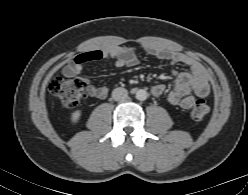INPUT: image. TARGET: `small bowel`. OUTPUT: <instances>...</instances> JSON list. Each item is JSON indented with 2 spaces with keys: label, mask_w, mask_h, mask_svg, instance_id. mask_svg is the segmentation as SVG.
<instances>
[{
  "label": "small bowel",
  "mask_w": 248,
  "mask_h": 195,
  "mask_svg": "<svg viewBox=\"0 0 248 195\" xmlns=\"http://www.w3.org/2000/svg\"><path fill=\"white\" fill-rule=\"evenodd\" d=\"M143 50L157 58L168 60L172 66L185 64L190 67L188 72L177 73L175 69L173 70V74L177 78L174 88L168 94L170 104L183 109H190L196 97L205 98L209 95L208 77L201 64L180 53L158 46L145 45ZM97 60L112 61L117 67H129L136 64L137 56L135 50L119 46L90 50L80 55L73 63L66 65L63 68V74L67 77L76 76L82 72L85 63ZM82 80L85 82L88 93L91 96L98 99L106 98L108 94L106 87L95 85L88 78H83ZM164 90V85L160 83L152 87V93L155 96H161Z\"/></svg>",
  "instance_id": "small-bowel-1"
}]
</instances>
